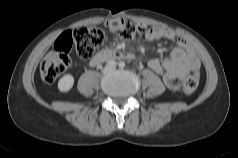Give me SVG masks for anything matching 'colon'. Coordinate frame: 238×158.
Segmentation results:
<instances>
[{
  "label": "colon",
  "instance_id": "obj_1",
  "mask_svg": "<svg viewBox=\"0 0 238 158\" xmlns=\"http://www.w3.org/2000/svg\"><path fill=\"white\" fill-rule=\"evenodd\" d=\"M107 29L125 39L147 36L150 29L145 25L126 20L111 19L106 23ZM104 33L97 27H76L62 34L56 41L54 49L44 58L40 66L42 79L51 83L55 81L72 64L70 52L75 50L81 58H89L102 43ZM199 72L195 70L184 82L183 92L192 94L199 85Z\"/></svg>",
  "mask_w": 238,
  "mask_h": 158
}]
</instances>
